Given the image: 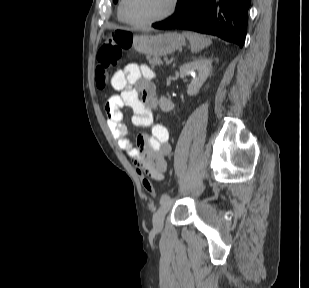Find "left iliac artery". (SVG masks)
Here are the masks:
<instances>
[{"instance_id": "left-iliac-artery-1", "label": "left iliac artery", "mask_w": 309, "mask_h": 288, "mask_svg": "<svg viewBox=\"0 0 309 288\" xmlns=\"http://www.w3.org/2000/svg\"><path fill=\"white\" fill-rule=\"evenodd\" d=\"M165 200H170V196H168V195H162V197H161V199H160V202H163V201H165Z\"/></svg>"}]
</instances>
